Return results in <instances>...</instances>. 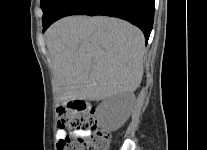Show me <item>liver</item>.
<instances>
[{"mask_svg":"<svg viewBox=\"0 0 207 150\" xmlns=\"http://www.w3.org/2000/svg\"><path fill=\"white\" fill-rule=\"evenodd\" d=\"M46 44L62 105L132 93L141 83L144 36L124 20L69 16L47 30Z\"/></svg>","mask_w":207,"mask_h":150,"instance_id":"liver-1","label":"liver"}]
</instances>
